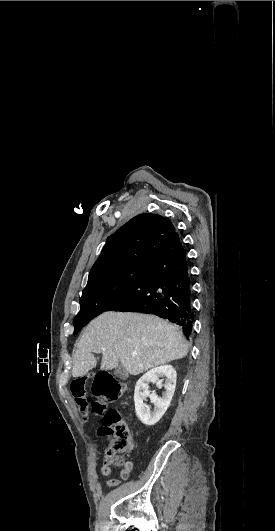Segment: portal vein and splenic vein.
<instances>
[{
	"instance_id": "portal-vein-and-splenic-vein-1",
	"label": "portal vein and splenic vein",
	"mask_w": 275,
	"mask_h": 531,
	"mask_svg": "<svg viewBox=\"0 0 275 531\" xmlns=\"http://www.w3.org/2000/svg\"><path fill=\"white\" fill-rule=\"evenodd\" d=\"M102 351H106V349H102ZM137 353H132V357H136Z\"/></svg>"
}]
</instances>
